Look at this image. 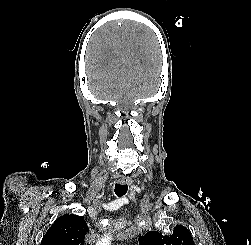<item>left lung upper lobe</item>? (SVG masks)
I'll return each mask as SVG.
<instances>
[{
	"mask_svg": "<svg viewBox=\"0 0 251 245\" xmlns=\"http://www.w3.org/2000/svg\"><path fill=\"white\" fill-rule=\"evenodd\" d=\"M138 241L139 245H195L190 231L182 225L174 227L171 235L149 231L139 236Z\"/></svg>",
	"mask_w": 251,
	"mask_h": 245,
	"instance_id": "1",
	"label": "left lung upper lobe"
}]
</instances>
